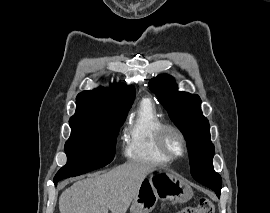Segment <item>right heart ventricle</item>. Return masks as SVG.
<instances>
[{
  "instance_id": "obj_1",
  "label": "right heart ventricle",
  "mask_w": 270,
  "mask_h": 213,
  "mask_svg": "<svg viewBox=\"0 0 270 213\" xmlns=\"http://www.w3.org/2000/svg\"><path fill=\"white\" fill-rule=\"evenodd\" d=\"M163 124V118L152 102L148 99L142 100L125 129V156L137 162H169L159 151L156 141L157 132Z\"/></svg>"
}]
</instances>
